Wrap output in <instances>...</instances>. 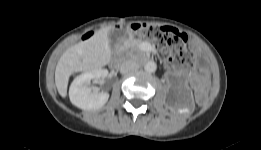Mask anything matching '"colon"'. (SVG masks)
Listing matches in <instances>:
<instances>
[{
    "instance_id": "colon-1",
    "label": "colon",
    "mask_w": 261,
    "mask_h": 150,
    "mask_svg": "<svg viewBox=\"0 0 261 150\" xmlns=\"http://www.w3.org/2000/svg\"><path fill=\"white\" fill-rule=\"evenodd\" d=\"M131 32L140 38L152 39L162 51L170 66L176 70H186L191 65V56L187 50V35L174 27L153 26L145 23L132 24ZM92 33L84 36L88 39Z\"/></svg>"
}]
</instances>
